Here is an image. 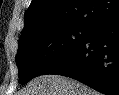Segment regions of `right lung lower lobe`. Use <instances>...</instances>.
<instances>
[{"instance_id":"right-lung-lower-lobe-1","label":"right lung lower lobe","mask_w":119,"mask_h":95,"mask_svg":"<svg viewBox=\"0 0 119 95\" xmlns=\"http://www.w3.org/2000/svg\"><path fill=\"white\" fill-rule=\"evenodd\" d=\"M78 80L106 95H119V18L90 30L87 36L42 75Z\"/></svg>"}]
</instances>
